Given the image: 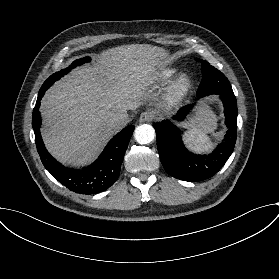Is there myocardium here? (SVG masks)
<instances>
[{
	"label": "myocardium",
	"mask_w": 279,
	"mask_h": 279,
	"mask_svg": "<svg viewBox=\"0 0 279 279\" xmlns=\"http://www.w3.org/2000/svg\"><path fill=\"white\" fill-rule=\"evenodd\" d=\"M190 87L191 81L187 76L177 77L169 88V101L172 103L178 102L189 91Z\"/></svg>",
	"instance_id": "1"
}]
</instances>
